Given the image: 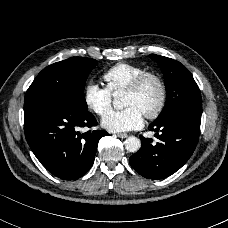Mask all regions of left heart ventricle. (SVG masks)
Segmentation results:
<instances>
[{"label":"left heart ventricle","mask_w":228,"mask_h":228,"mask_svg":"<svg viewBox=\"0 0 228 228\" xmlns=\"http://www.w3.org/2000/svg\"><path fill=\"white\" fill-rule=\"evenodd\" d=\"M160 100V88L156 81L148 80L137 93H125L124 106L135 107L142 114L152 111Z\"/></svg>","instance_id":"1"}]
</instances>
